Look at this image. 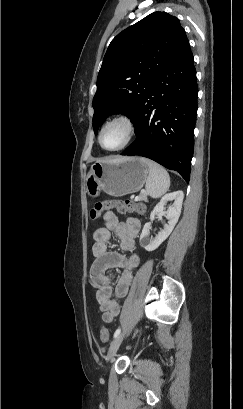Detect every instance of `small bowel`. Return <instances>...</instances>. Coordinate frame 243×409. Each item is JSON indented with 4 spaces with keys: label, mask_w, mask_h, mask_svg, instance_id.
<instances>
[{
    "label": "small bowel",
    "mask_w": 243,
    "mask_h": 409,
    "mask_svg": "<svg viewBox=\"0 0 243 409\" xmlns=\"http://www.w3.org/2000/svg\"><path fill=\"white\" fill-rule=\"evenodd\" d=\"M103 222L104 226L93 232L94 261L89 269V277L96 290V299L102 312V319L106 323H112L120 312L117 298H123L128 293L132 272L139 264L135 240L141 230V223L135 217H128L121 222L113 211H106L103 214ZM112 233L119 238L120 246L126 255L109 248ZM115 268L121 269L122 273L112 289L111 276L107 274V271Z\"/></svg>",
    "instance_id": "small-bowel-1"
}]
</instances>
